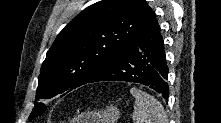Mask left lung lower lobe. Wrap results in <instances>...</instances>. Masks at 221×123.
<instances>
[{
    "label": "left lung lower lobe",
    "instance_id": "obj_1",
    "mask_svg": "<svg viewBox=\"0 0 221 123\" xmlns=\"http://www.w3.org/2000/svg\"><path fill=\"white\" fill-rule=\"evenodd\" d=\"M167 75L164 41L155 18L129 47L94 74L87 83L98 81L140 83L160 93L168 102Z\"/></svg>",
    "mask_w": 221,
    "mask_h": 123
}]
</instances>
